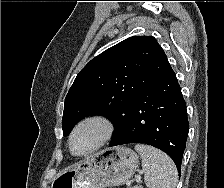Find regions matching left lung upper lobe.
I'll use <instances>...</instances> for the list:
<instances>
[{
	"label": "left lung upper lobe",
	"instance_id": "1",
	"mask_svg": "<svg viewBox=\"0 0 224 188\" xmlns=\"http://www.w3.org/2000/svg\"><path fill=\"white\" fill-rule=\"evenodd\" d=\"M171 69L152 36L130 37L93 58L77 75L65 98L63 135L87 116L111 119L118 133L140 93Z\"/></svg>",
	"mask_w": 224,
	"mask_h": 188
}]
</instances>
